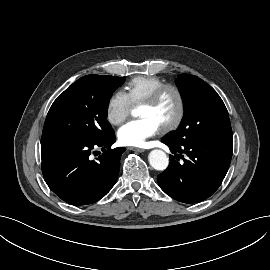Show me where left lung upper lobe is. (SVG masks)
<instances>
[{
    "mask_svg": "<svg viewBox=\"0 0 270 270\" xmlns=\"http://www.w3.org/2000/svg\"><path fill=\"white\" fill-rule=\"evenodd\" d=\"M175 83L185 113L177 131L165 138L179 145L197 137L233 139L228 111L212 87L189 74H180Z\"/></svg>",
    "mask_w": 270,
    "mask_h": 270,
    "instance_id": "obj_1",
    "label": "left lung upper lobe"
}]
</instances>
